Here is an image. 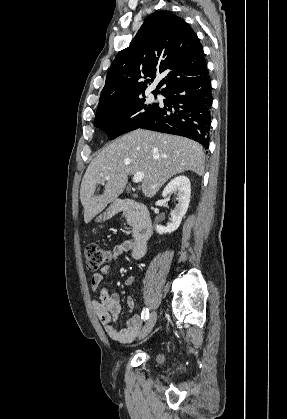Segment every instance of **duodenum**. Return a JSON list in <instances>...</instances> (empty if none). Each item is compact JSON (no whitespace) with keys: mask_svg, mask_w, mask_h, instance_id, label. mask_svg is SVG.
<instances>
[{"mask_svg":"<svg viewBox=\"0 0 287 419\" xmlns=\"http://www.w3.org/2000/svg\"><path fill=\"white\" fill-rule=\"evenodd\" d=\"M115 207L119 212L130 214L134 221V242L133 257L140 258L144 255L147 241L151 238L153 232L152 218L148 208L137 201L130 199H118L115 201Z\"/></svg>","mask_w":287,"mask_h":419,"instance_id":"obj_1","label":"duodenum"}]
</instances>
